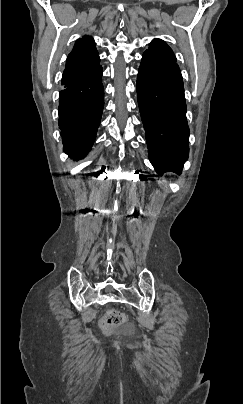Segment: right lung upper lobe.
Returning <instances> with one entry per match:
<instances>
[{
    "mask_svg": "<svg viewBox=\"0 0 243 404\" xmlns=\"http://www.w3.org/2000/svg\"><path fill=\"white\" fill-rule=\"evenodd\" d=\"M100 59L92 37L78 39L69 54L62 76V85L75 77L84 75L99 65Z\"/></svg>",
    "mask_w": 243,
    "mask_h": 404,
    "instance_id": "1",
    "label": "right lung upper lobe"
}]
</instances>
